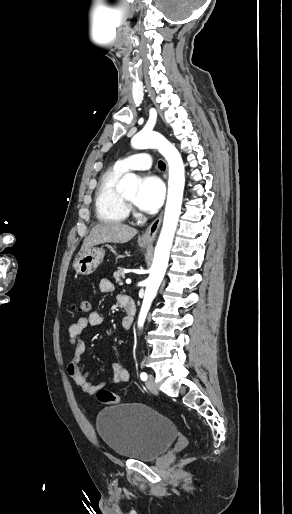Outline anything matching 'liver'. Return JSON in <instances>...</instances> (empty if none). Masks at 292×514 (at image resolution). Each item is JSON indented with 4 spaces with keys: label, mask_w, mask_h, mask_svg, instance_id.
<instances>
[{
    "label": "liver",
    "mask_w": 292,
    "mask_h": 514,
    "mask_svg": "<svg viewBox=\"0 0 292 514\" xmlns=\"http://www.w3.org/2000/svg\"><path fill=\"white\" fill-rule=\"evenodd\" d=\"M137 230L120 224V222H106V224H97L92 228L88 238H85L81 250L85 248H92L98 244H106V242H113V244H125L136 236Z\"/></svg>",
    "instance_id": "liver-1"
}]
</instances>
